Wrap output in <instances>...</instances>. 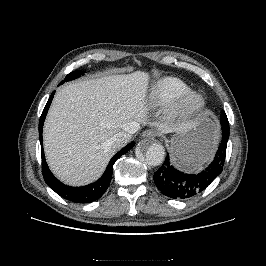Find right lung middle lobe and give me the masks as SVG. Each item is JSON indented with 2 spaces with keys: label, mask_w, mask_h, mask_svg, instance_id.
I'll return each instance as SVG.
<instances>
[{
  "label": "right lung middle lobe",
  "mask_w": 266,
  "mask_h": 266,
  "mask_svg": "<svg viewBox=\"0 0 266 266\" xmlns=\"http://www.w3.org/2000/svg\"><path fill=\"white\" fill-rule=\"evenodd\" d=\"M82 74H83V71H74V72H71L70 74H68L66 76L65 80H63L60 84L64 83L65 81H70V80H73L75 78H78Z\"/></svg>",
  "instance_id": "dd1d6c3e"
}]
</instances>
